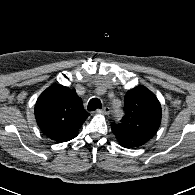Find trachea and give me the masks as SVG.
<instances>
[{
    "label": "trachea",
    "instance_id": "1",
    "mask_svg": "<svg viewBox=\"0 0 195 195\" xmlns=\"http://www.w3.org/2000/svg\"><path fill=\"white\" fill-rule=\"evenodd\" d=\"M97 108H102L101 101L98 98H93L88 103V110L94 111Z\"/></svg>",
    "mask_w": 195,
    "mask_h": 195
}]
</instances>
